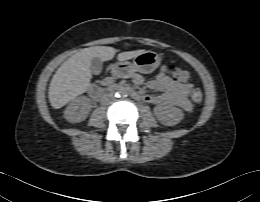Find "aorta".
Segmentation results:
<instances>
[{"label": "aorta", "instance_id": "aorta-1", "mask_svg": "<svg viewBox=\"0 0 260 202\" xmlns=\"http://www.w3.org/2000/svg\"><path fill=\"white\" fill-rule=\"evenodd\" d=\"M126 95H127V94H126V92H125L124 90H121V91L118 92V96H119V97H121V96L124 97V96H126Z\"/></svg>", "mask_w": 260, "mask_h": 202}]
</instances>
